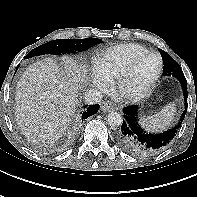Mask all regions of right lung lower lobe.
Instances as JSON below:
<instances>
[{"mask_svg": "<svg viewBox=\"0 0 197 197\" xmlns=\"http://www.w3.org/2000/svg\"><path fill=\"white\" fill-rule=\"evenodd\" d=\"M87 106H85L84 108H86ZM99 109V105H90L87 110H85V112H83L82 114V119H85L91 115H94Z\"/></svg>", "mask_w": 197, "mask_h": 197, "instance_id": "right-lung-lower-lobe-1", "label": "right lung lower lobe"}]
</instances>
